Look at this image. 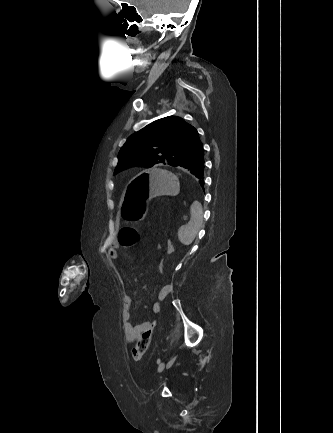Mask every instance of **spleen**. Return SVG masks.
Instances as JSON below:
<instances>
[{"label":"spleen","mask_w":333,"mask_h":433,"mask_svg":"<svg viewBox=\"0 0 333 433\" xmlns=\"http://www.w3.org/2000/svg\"><path fill=\"white\" fill-rule=\"evenodd\" d=\"M202 222H203L202 208L198 202H194L191 206L190 221L187 224L181 226L178 230V238L180 242L184 245L191 244L194 241L202 225Z\"/></svg>","instance_id":"spleen-1"}]
</instances>
